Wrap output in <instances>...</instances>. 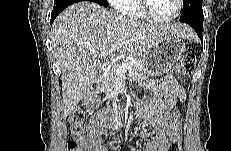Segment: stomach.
Listing matches in <instances>:
<instances>
[{"label": "stomach", "mask_w": 231, "mask_h": 151, "mask_svg": "<svg viewBox=\"0 0 231 151\" xmlns=\"http://www.w3.org/2000/svg\"><path fill=\"white\" fill-rule=\"evenodd\" d=\"M186 50L183 38L169 35L153 44L142 56L148 76H158L169 71Z\"/></svg>", "instance_id": "obj_1"}]
</instances>
